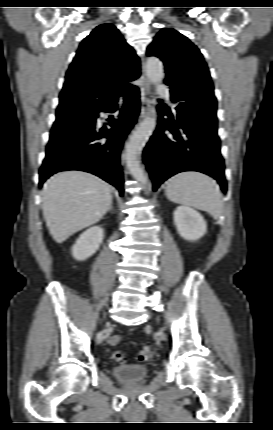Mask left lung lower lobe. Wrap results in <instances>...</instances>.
<instances>
[{
	"instance_id": "left-lung-lower-lobe-1",
	"label": "left lung lower lobe",
	"mask_w": 273,
	"mask_h": 430,
	"mask_svg": "<svg viewBox=\"0 0 273 430\" xmlns=\"http://www.w3.org/2000/svg\"><path fill=\"white\" fill-rule=\"evenodd\" d=\"M177 110V109H176ZM177 119H163L144 150V161L156 191L167 178L182 171H198L218 181L226 192L224 160L220 153L217 120L197 119L177 111Z\"/></svg>"
}]
</instances>
